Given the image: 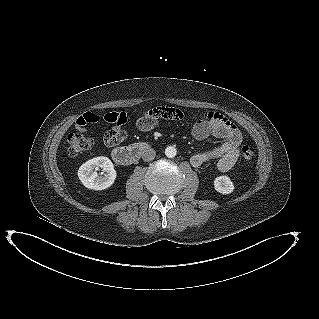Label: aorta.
I'll list each match as a JSON object with an SVG mask.
<instances>
[{
    "label": "aorta",
    "mask_w": 319,
    "mask_h": 319,
    "mask_svg": "<svg viewBox=\"0 0 319 319\" xmlns=\"http://www.w3.org/2000/svg\"><path fill=\"white\" fill-rule=\"evenodd\" d=\"M177 154V151H176V148L173 147V146H168L166 149H165V155L168 157V158H173L175 157Z\"/></svg>",
    "instance_id": "1"
}]
</instances>
